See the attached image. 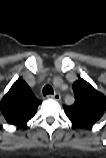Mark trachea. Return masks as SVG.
Listing matches in <instances>:
<instances>
[{
  "label": "trachea",
  "instance_id": "obj_1",
  "mask_svg": "<svg viewBox=\"0 0 106 158\" xmlns=\"http://www.w3.org/2000/svg\"><path fill=\"white\" fill-rule=\"evenodd\" d=\"M43 95L54 94V90L50 85H46L42 90Z\"/></svg>",
  "mask_w": 106,
  "mask_h": 158
}]
</instances>
